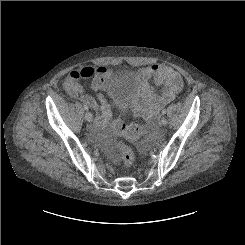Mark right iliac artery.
<instances>
[{"label": "right iliac artery", "mask_w": 245, "mask_h": 245, "mask_svg": "<svg viewBox=\"0 0 245 245\" xmlns=\"http://www.w3.org/2000/svg\"><path fill=\"white\" fill-rule=\"evenodd\" d=\"M84 109L86 110V111H88V106L87 105H84Z\"/></svg>", "instance_id": "1"}]
</instances>
